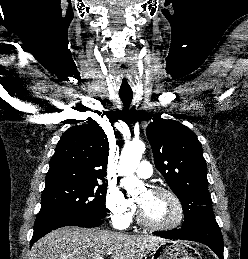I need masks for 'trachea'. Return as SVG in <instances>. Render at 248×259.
I'll list each match as a JSON object with an SVG mask.
<instances>
[{
	"label": "trachea",
	"instance_id": "obj_1",
	"mask_svg": "<svg viewBox=\"0 0 248 259\" xmlns=\"http://www.w3.org/2000/svg\"><path fill=\"white\" fill-rule=\"evenodd\" d=\"M120 99L123 102V105L126 109L129 108L132 98H133V93L132 92H120L119 93Z\"/></svg>",
	"mask_w": 248,
	"mask_h": 259
}]
</instances>
